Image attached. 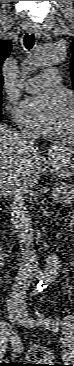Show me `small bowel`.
Here are the masks:
<instances>
[{
  "mask_svg": "<svg viewBox=\"0 0 74 366\" xmlns=\"http://www.w3.org/2000/svg\"><path fill=\"white\" fill-rule=\"evenodd\" d=\"M56 268H49L47 274L44 276V278H52L56 274Z\"/></svg>",
  "mask_w": 74,
  "mask_h": 366,
  "instance_id": "c3829d8e",
  "label": "small bowel"
}]
</instances>
